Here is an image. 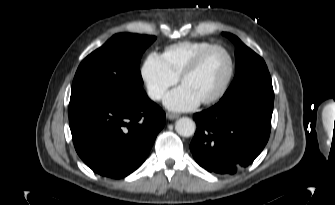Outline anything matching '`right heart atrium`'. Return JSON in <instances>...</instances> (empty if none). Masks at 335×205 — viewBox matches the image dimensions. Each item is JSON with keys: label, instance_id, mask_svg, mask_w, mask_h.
Masks as SVG:
<instances>
[{"label": "right heart atrium", "instance_id": "1", "mask_svg": "<svg viewBox=\"0 0 335 205\" xmlns=\"http://www.w3.org/2000/svg\"><path fill=\"white\" fill-rule=\"evenodd\" d=\"M140 76L148 96L155 101L160 100L179 79L165 64L161 55L155 52L145 58L140 69Z\"/></svg>", "mask_w": 335, "mask_h": 205}]
</instances>
